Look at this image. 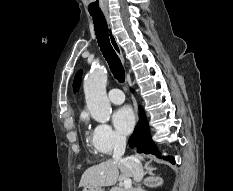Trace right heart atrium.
<instances>
[{
	"label": "right heart atrium",
	"instance_id": "d8ad5b80",
	"mask_svg": "<svg viewBox=\"0 0 233 191\" xmlns=\"http://www.w3.org/2000/svg\"><path fill=\"white\" fill-rule=\"evenodd\" d=\"M92 137L95 149L102 155L112 154L125 143V138L108 124H98Z\"/></svg>",
	"mask_w": 233,
	"mask_h": 191
}]
</instances>
